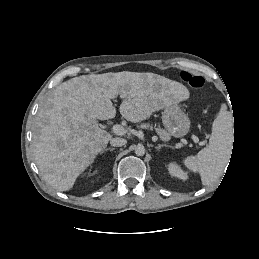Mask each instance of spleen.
<instances>
[{
	"mask_svg": "<svg viewBox=\"0 0 259 259\" xmlns=\"http://www.w3.org/2000/svg\"><path fill=\"white\" fill-rule=\"evenodd\" d=\"M232 115L222 105L212 124L209 144L199 151L197 156L185 158L184 165L193 172H198L203 185L216 181L223 173L232 151L233 131Z\"/></svg>",
	"mask_w": 259,
	"mask_h": 259,
	"instance_id": "obj_1",
	"label": "spleen"
}]
</instances>
